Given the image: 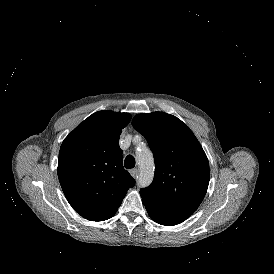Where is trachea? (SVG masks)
Segmentation results:
<instances>
[{
	"mask_svg": "<svg viewBox=\"0 0 274 274\" xmlns=\"http://www.w3.org/2000/svg\"><path fill=\"white\" fill-rule=\"evenodd\" d=\"M124 166L127 169H131L135 166V158L131 155H128L124 160Z\"/></svg>",
	"mask_w": 274,
	"mask_h": 274,
	"instance_id": "obj_1",
	"label": "trachea"
}]
</instances>
